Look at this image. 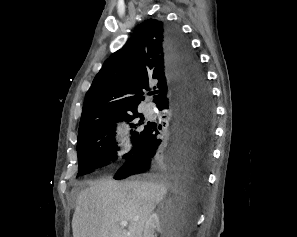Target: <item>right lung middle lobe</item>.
<instances>
[{"mask_svg":"<svg viewBox=\"0 0 297 237\" xmlns=\"http://www.w3.org/2000/svg\"><path fill=\"white\" fill-rule=\"evenodd\" d=\"M119 120L129 122L131 128L134 129V131L131 130L133 148L129 153L123 155V158L131 155L132 151L145 139L151 128V124L146 125L144 129L141 128L144 124V118L137 112L115 115L87 128L78 135L79 172L77 177L97 167L107 165L108 162L118 158L117 150L119 148L115 142V123Z\"/></svg>","mask_w":297,"mask_h":237,"instance_id":"right-lung-middle-lobe-1","label":"right lung middle lobe"}]
</instances>
